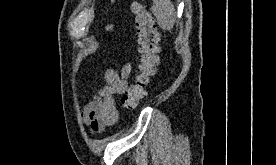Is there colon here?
I'll return each mask as SVG.
<instances>
[{"label":"colon","mask_w":276,"mask_h":165,"mask_svg":"<svg viewBox=\"0 0 276 165\" xmlns=\"http://www.w3.org/2000/svg\"><path fill=\"white\" fill-rule=\"evenodd\" d=\"M137 34L139 64L134 82L122 96V106L127 110L135 109L145 95L149 78L154 75L159 62V33L150 11L143 3L131 6ZM111 29V26H108Z\"/></svg>","instance_id":"1"}]
</instances>
